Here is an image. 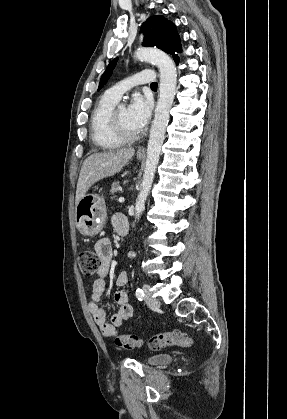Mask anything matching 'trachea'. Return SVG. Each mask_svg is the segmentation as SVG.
<instances>
[{"mask_svg":"<svg viewBox=\"0 0 287 419\" xmlns=\"http://www.w3.org/2000/svg\"><path fill=\"white\" fill-rule=\"evenodd\" d=\"M151 87H157V83L156 82H154V83H151V85H150Z\"/></svg>","mask_w":287,"mask_h":419,"instance_id":"obj_1","label":"trachea"}]
</instances>
